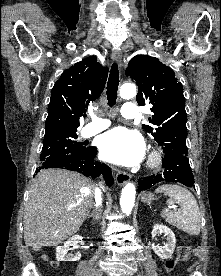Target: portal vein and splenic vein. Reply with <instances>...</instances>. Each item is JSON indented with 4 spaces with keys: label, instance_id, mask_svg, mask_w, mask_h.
Listing matches in <instances>:
<instances>
[{
    "label": "portal vein and splenic vein",
    "instance_id": "portal-vein-and-splenic-vein-1",
    "mask_svg": "<svg viewBox=\"0 0 221 276\" xmlns=\"http://www.w3.org/2000/svg\"><path fill=\"white\" fill-rule=\"evenodd\" d=\"M170 207L176 209L174 206H170Z\"/></svg>",
    "mask_w": 221,
    "mask_h": 276
}]
</instances>
